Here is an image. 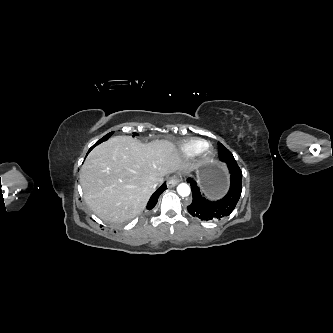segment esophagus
Masks as SVG:
<instances>
[{"label": "esophagus", "mask_w": 333, "mask_h": 333, "mask_svg": "<svg viewBox=\"0 0 333 333\" xmlns=\"http://www.w3.org/2000/svg\"><path fill=\"white\" fill-rule=\"evenodd\" d=\"M180 181H181L180 176L173 175V176L169 177V179L167 181V186L169 188H172V187L176 186Z\"/></svg>", "instance_id": "obj_1"}]
</instances>
